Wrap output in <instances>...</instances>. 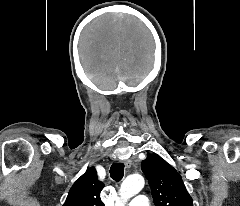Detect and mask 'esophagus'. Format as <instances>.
<instances>
[{"instance_id":"esophagus-1","label":"esophagus","mask_w":240,"mask_h":206,"mask_svg":"<svg viewBox=\"0 0 240 206\" xmlns=\"http://www.w3.org/2000/svg\"><path fill=\"white\" fill-rule=\"evenodd\" d=\"M124 162V164H125V166L127 167V168H130L131 167V164H132V161L131 160H125V161H123Z\"/></svg>"}]
</instances>
